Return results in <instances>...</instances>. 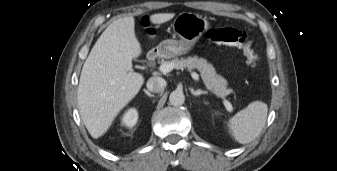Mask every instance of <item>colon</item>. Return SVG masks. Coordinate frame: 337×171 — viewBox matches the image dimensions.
I'll use <instances>...</instances> for the list:
<instances>
[{
    "mask_svg": "<svg viewBox=\"0 0 337 171\" xmlns=\"http://www.w3.org/2000/svg\"><path fill=\"white\" fill-rule=\"evenodd\" d=\"M142 26L145 30L149 28V22L146 18L142 20ZM207 38L216 44L240 47L252 66H255L258 62V56L244 31L231 27L212 28L208 31Z\"/></svg>",
    "mask_w": 337,
    "mask_h": 171,
    "instance_id": "1",
    "label": "colon"
}]
</instances>
